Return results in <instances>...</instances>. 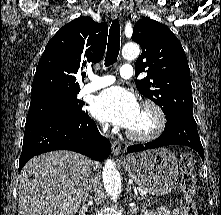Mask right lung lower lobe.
I'll return each instance as SVG.
<instances>
[{"instance_id":"obj_1","label":"right lung lower lobe","mask_w":221,"mask_h":215,"mask_svg":"<svg viewBox=\"0 0 221 215\" xmlns=\"http://www.w3.org/2000/svg\"><path fill=\"white\" fill-rule=\"evenodd\" d=\"M54 150H71L102 161L110 155L111 144L100 135L88 114L77 120L58 117L30 120L25 124L19 171L33 156Z\"/></svg>"}]
</instances>
